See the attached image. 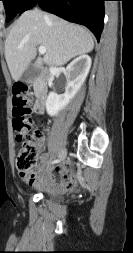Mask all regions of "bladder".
I'll use <instances>...</instances> for the list:
<instances>
[{"instance_id":"bladder-1","label":"bladder","mask_w":133,"mask_h":253,"mask_svg":"<svg viewBox=\"0 0 133 253\" xmlns=\"http://www.w3.org/2000/svg\"><path fill=\"white\" fill-rule=\"evenodd\" d=\"M49 198L56 202H60L62 200L60 196H54V195L50 196Z\"/></svg>"}]
</instances>
